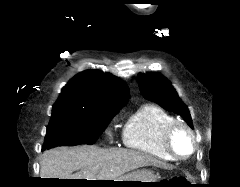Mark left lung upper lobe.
Segmentation results:
<instances>
[{
  "label": "left lung upper lobe",
  "instance_id": "5c2ea615",
  "mask_svg": "<svg viewBox=\"0 0 240 187\" xmlns=\"http://www.w3.org/2000/svg\"><path fill=\"white\" fill-rule=\"evenodd\" d=\"M138 84L143 96L161 105L164 109L174 112L192 127V120L187 106L179 98L171 83L157 73L141 74Z\"/></svg>",
  "mask_w": 240,
  "mask_h": 187
}]
</instances>
